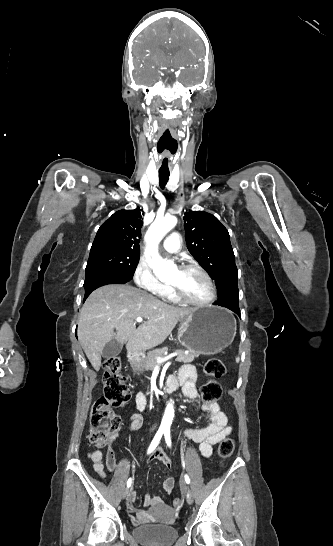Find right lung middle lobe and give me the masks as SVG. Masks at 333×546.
Masks as SVG:
<instances>
[{"label": "right lung middle lobe", "mask_w": 333, "mask_h": 546, "mask_svg": "<svg viewBox=\"0 0 333 546\" xmlns=\"http://www.w3.org/2000/svg\"><path fill=\"white\" fill-rule=\"evenodd\" d=\"M140 253L119 249H100L90 251L86 272L105 270L133 278Z\"/></svg>", "instance_id": "1"}]
</instances>
